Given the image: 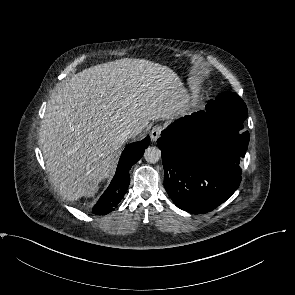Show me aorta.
Segmentation results:
<instances>
[{
  "mask_svg": "<svg viewBox=\"0 0 295 295\" xmlns=\"http://www.w3.org/2000/svg\"><path fill=\"white\" fill-rule=\"evenodd\" d=\"M144 157L148 163H156L161 158V150L157 147H148L144 153Z\"/></svg>",
  "mask_w": 295,
  "mask_h": 295,
  "instance_id": "1",
  "label": "aorta"
}]
</instances>
